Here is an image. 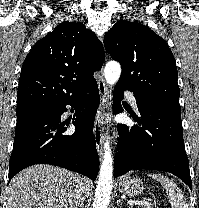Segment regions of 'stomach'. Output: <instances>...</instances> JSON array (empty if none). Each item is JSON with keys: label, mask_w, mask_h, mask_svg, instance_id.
Here are the masks:
<instances>
[{"label": "stomach", "mask_w": 199, "mask_h": 208, "mask_svg": "<svg viewBox=\"0 0 199 208\" xmlns=\"http://www.w3.org/2000/svg\"><path fill=\"white\" fill-rule=\"evenodd\" d=\"M119 191L128 196H137L144 191V185L138 177L126 176L119 180Z\"/></svg>", "instance_id": "stomach-1"}]
</instances>
